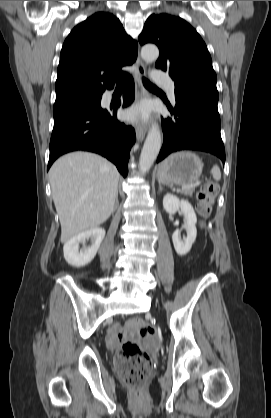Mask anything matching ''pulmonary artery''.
Masks as SVG:
<instances>
[{"label":"pulmonary artery","instance_id":"e3ab8cb5","mask_svg":"<svg viewBox=\"0 0 271 418\" xmlns=\"http://www.w3.org/2000/svg\"><path fill=\"white\" fill-rule=\"evenodd\" d=\"M154 79L156 82H158L159 84H162L165 87L169 97L174 101L175 84L173 80L168 75H165L159 72H155Z\"/></svg>","mask_w":271,"mask_h":418}]
</instances>
